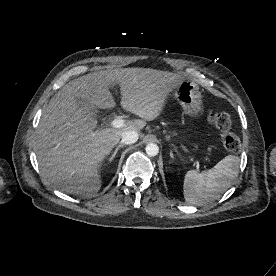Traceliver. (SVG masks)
Returning a JSON list of instances; mask_svg holds the SVG:
<instances>
[{"instance_id": "6515ba94", "label": "liver", "mask_w": 276, "mask_h": 276, "mask_svg": "<svg viewBox=\"0 0 276 276\" xmlns=\"http://www.w3.org/2000/svg\"><path fill=\"white\" fill-rule=\"evenodd\" d=\"M184 77L147 68L90 73L64 85L44 108L37 128L35 152L43 177L58 190L86 198L101 188L99 168L128 130L140 132L162 112L169 94ZM121 89V106L141 119L120 128L95 130L97 119L76 101L111 109L110 87Z\"/></svg>"}]
</instances>
